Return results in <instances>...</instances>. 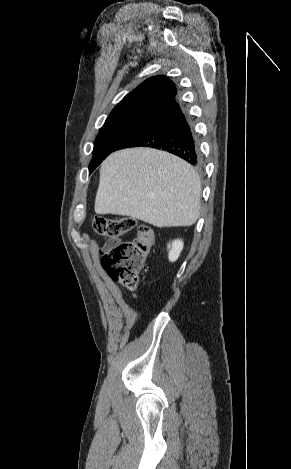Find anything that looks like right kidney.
<instances>
[{
    "instance_id": "1",
    "label": "right kidney",
    "mask_w": 291,
    "mask_h": 469,
    "mask_svg": "<svg viewBox=\"0 0 291 469\" xmlns=\"http://www.w3.org/2000/svg\"><path fill=\"white\" fill-rule=\"evenodd\" d=\"M183 246H184V243H183L182 240H175L171 244L170 243L168 244V249H169L168 258H169V261L175 262L178 259V257L180 256V253L183 249Z\"/></svg>"
}]
</instances>
